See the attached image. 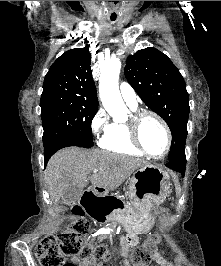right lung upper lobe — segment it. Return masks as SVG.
<instances>
[{"label":"right lung upper lobe","instance_id":"right-lung-upper-lobe-1","mask_svg":"<svg viewBox=\"0 0 221 266\" xmlns=\"http://www.w3.org/2000/svg\"><path fill=\"white\" fill-rule=\"evenodd\" d=\"M90 64L88 45L66 51L49 68L44 79L43 92L70 93L83 98L89 105L98 107Z\"/></svg>","mask_w":221,"mask_h":266}]
</instances>
